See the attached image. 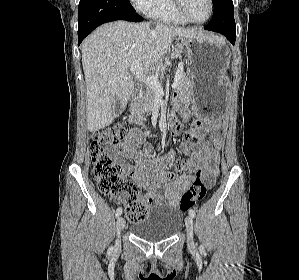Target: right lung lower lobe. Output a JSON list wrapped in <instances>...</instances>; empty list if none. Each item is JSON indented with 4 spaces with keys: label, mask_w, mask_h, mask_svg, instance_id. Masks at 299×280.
Segmentation results:
<instances>
[{
    "label": "right lung lower lobe",
    "mask_w": 299,
    "mask_h": 280,
    "mask_svg": "<svg viewBox=\"0 0 299 280\" xmlns=\"http://www.w3.org/2000/svg\"><path fill=\"white\" fill-rule=\"evenodd\" d=\"M115 20L143 21L124 0H80L78 45L99 25Z\"/></svg>",
    "instance_id": "1"
}]
</instances>
